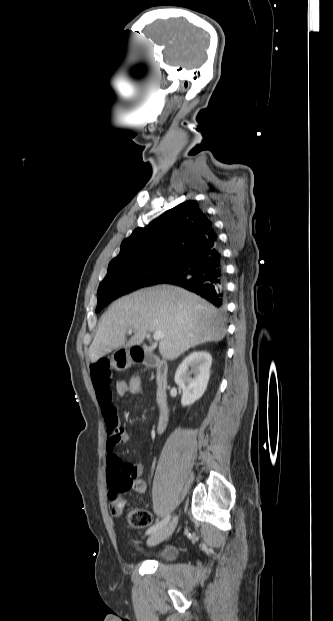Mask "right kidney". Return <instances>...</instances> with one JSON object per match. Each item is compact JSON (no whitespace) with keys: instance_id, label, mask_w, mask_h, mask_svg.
<instances>
[{"instance_id":"right-kidney-1","label":"right kidney","mask_w":333,"mask_h":621,"mask_svg":"<svg viewBox=\"0 0 333 621\" xmlns=\"http://www.w3.org/2000/svg\"><path fill=\"white\" fill-rule=\"evenodd\" d=\"M211 364L212 357L206 351H194L181 362L174 379L183 390V406L191 405L202 397L209 381ZM190 374H194V378Z\"/></svg>"}]
</instances>
